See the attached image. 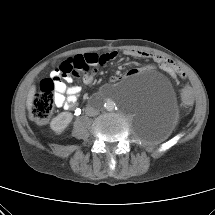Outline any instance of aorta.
I'll return each instance as SVG.
<instances>
[{
	"label": "aorta",
	"mask_w": 215,
	"mask_h": 215,
	"mask_svg": "<svg viewBox=\"0 0 215 215\" xmlns=\"http://www.w3.org/2000/svg\"><path fill=\"white\" fill-rule=\"evenodd\" d=\"M123 88H124L123 85H117L113 87L111 91L105 95L106 99L102 103L103 109H105L106 111H113L115 110V108H117V102L119 100H122L123 98L122 95Z\"/></svg>",
	"instance_id": "aorta-1"
}]
</instances>
